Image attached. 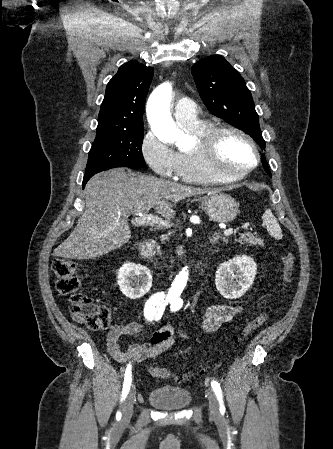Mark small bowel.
<instances>
[{
  "mask_svg": "<svg viewBox=\"0 0 333 449\" xmlns=\"http://www.w3.org/2000/svg\"><path fill=\"white\" fill-rule=\"evenodd\" d=\"M241 311L240 306L227 304L212 305L207 308L200 321L203 332L217 330L235 318ZM142 330L139 321H120L111 326L106 335V347L111 357L119 363L140 362L157 357L171 349L175 343V327L172 324L156 330L149 341L143 344H129L122 347L120 339L124 336L137 335ZM186 336L184 331H180Z\"/></svg>",
  "mask_w": 333,
  "mask_h": 449,
  "instance_id": "obj_1",
  "label": "small bowel"
}]
</instances>
